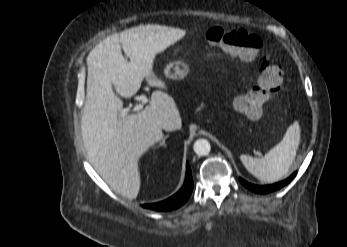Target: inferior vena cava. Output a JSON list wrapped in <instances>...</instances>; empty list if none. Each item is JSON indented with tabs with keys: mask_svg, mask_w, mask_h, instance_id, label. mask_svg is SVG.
<instances>
[{
	"mask_svg": "<svg viewBox=\"0 0 347 247\" xmlns=\"http://www.w3.org/2000/svg\"><path fill=\"white\" fill-rule=\"evenodd\" d=\"M160 127L165 131H173L177 129L175 121L168 118L160 122Z\"/></svg>",
	"mask_w": 347,
	"mask_h": 247,
	"instance_id": "inferior-vena-cava-1",
	"label": "inferior vena cava"
}]
</instances>
